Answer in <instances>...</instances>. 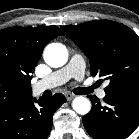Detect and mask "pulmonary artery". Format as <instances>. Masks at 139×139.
<instances>
[{
	"label": "pulmonary artery",
	"mask_w": 139,
	"mask_h": 139,
	"mask_svg": "<svg viewBox=\"0 0 139 139\" xmlns=\"http://www.w3.org/2000/svg\"><path fill=\"white\" fill-rule=\"evenodd\" d=\"M85 72L84 59L75 54L71 57L69 63L61 69L52 72L49 76L39 80L33 85L34 94L38 95L47 89L54 88L56 86L66 83L68 80L74 78L78 81L82 80ZM97 96L103 99L106 96L104 88H100L97 91Z\"/></svg>",
	"instance_id": "1"
}]
</instances>
